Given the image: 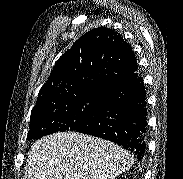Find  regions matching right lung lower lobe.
I'll return each instance as SVG.
<instances>
[{
    "label": "right lung lower lobe",
    "instance_id": "1",
    "mask_svg": "<svg viewBox=\"0 0 183 179\" xmlns=\"http://www.w3.org/2000/svg\"><path fill=\"white\" fill-rule=\"evenodd\" d=\"M76 132L114 142L142 160L147 149V103L139 70L105 88L94 116Z\"/></svg>",
    "mask_w": 183,
    "mask_h": 179
}]
</instances>
